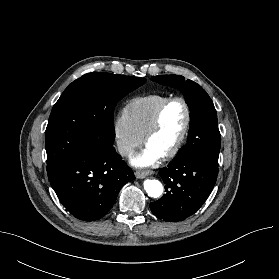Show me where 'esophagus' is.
I'll list each match as a JSON object with an SVG mask.
<instances>
[{
  "instance_id": "esophagus-1",
  "label": "esophagus",
  "mask_w": 279,
  "mask_h": 279,
  "mask_svg": "<svg viewBox=\"0 0 279 279\" xmlns=\"http://www.w3.org/2000/svg\"><path fill=\"white\" fill-rule=\"evenodd\" d=\"M151 174H153V172L150 171V170L136 171L135 172L136 177L139 178V179L145 178V177H147L148 175H151Z\"/></svg>"
}]
</instances>
